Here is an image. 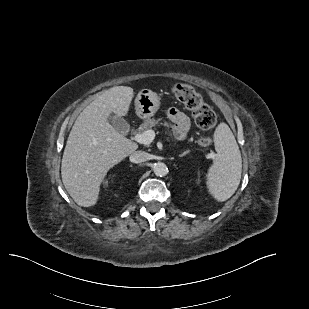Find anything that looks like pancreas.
<instances>
[{"mask_svg":"<svg viewBox=\"0 0 309 309\" xmlns=\"http://www.w3.org/2000/svg\"><path fill=\"white\" fill-rule=\"evenodd\" d=\"M160 121H161V119L155 120L154 118H148L140 125V127L137 129V132L143 133L147 130H150L153 127H155L156 125H159ZM165 126H169V124L165 123Z\"/></svg>","mask_w":309,"mask_h":309,"instance_id":"1","label":"pancreas"}]
</instances>
